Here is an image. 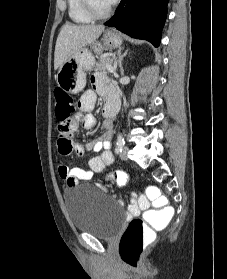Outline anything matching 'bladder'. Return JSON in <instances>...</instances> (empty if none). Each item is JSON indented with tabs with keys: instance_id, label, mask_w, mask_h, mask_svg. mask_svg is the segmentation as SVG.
<instances>
[{
	"instance_id": "31cf9c89",
	"label": "bladder",
	"mask_w": 227,
	"mask_h": 279,
	"mask_svg": "<svg viewBox=\"0 0 227 279\" xmlns=\"http://www.w3.org/2000/svg\"><path fill=\"white\" fill-rule=\"evenodd\" d=\"M64 202L73 228L100 239H115L124 224L122 206L93 185L65 190Z\"/></svg>"
}]
</instances>
